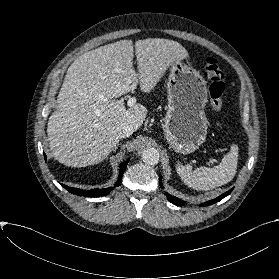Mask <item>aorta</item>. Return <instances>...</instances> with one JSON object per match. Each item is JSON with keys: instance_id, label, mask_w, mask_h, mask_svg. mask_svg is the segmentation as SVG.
I'll list each match as a JSON object with an SVG mask.
<instances>
[{"instance_id": "aorta-1", "label": "aorta", "mask_w": 279, "mask_h": 279, "mask_svg": "<svg viewBox=\"0 0 279 279\" xmlns=\"http://www.w3.org/2000/svg\"><path fill=\"white\" fill-rule=\"evenodd\" d=\"M159 152L155 148H147L142 153V160L145 164L156 165L159 162Z\"/></svg>"}]
</instances>
